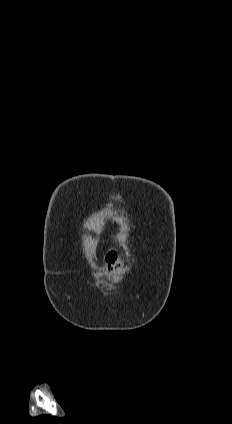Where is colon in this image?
Masks as SVG:
<instances>
[{
	"label": "colon",
	"mask_w": 232,
	"mask_h": 424,
	"mask_svg": "<svg viewBox=\"0 0 232 424\" xmlns=\"http://www.w3.org/2000/svg\"><path fill=\"white\" fill-rule=\"evenodd\" d=\"M106 262L108 264L109 269L112 271H118L122 266L118 254L114 251H111L107 254Z\"/></svg>",
	"instance_id": "obj_1"
}]
</instances>
